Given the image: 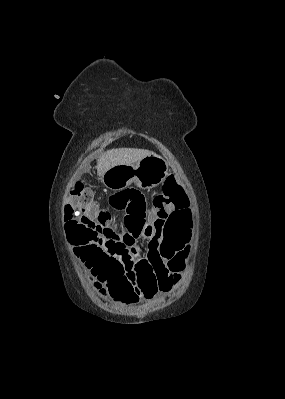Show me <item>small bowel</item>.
I'll return each instance as SVG.
<instances>
[{"instance_id":"small-bowel-1","label":"small bowel","mask_w":285,"mask_h":399,"mask_svg":"<svg viewBox=\"0 0 285 399\" xmlns=\"http://www.w3.org/2000/svg\"><path fill=\"white\" fill-rule=\"evenodd\" d=\"M148 219L149 223L146 224L143 230V237L149 240L150 249H154L157 248L160 242L163 240V236L159 234L157 230V224L162 222L163 220L159 217L158 211L156 209H151L148 212ZM192 226H193V219L190 218L184 224L174 227L172 231L174 233H184L188 237L189 241L192 235ZM190 249H191L190 245L187 242L182 253L184 261H186L190 256ZM101 269L103 271H113L117 273L118 280L120 282L122 281L129 282L133 274L132 270L127 265H124L122 271H118L116 263L111 260L105 261ZM182 280H183L182 274H173V276L169 275L166 279H164L162 282L159 283V289L163 294L172 293L175 290V288L181 284ZM95 291L96 294L101 298L110 299L117 303L127 305L124 300L118 299L116 296H113L105 286ZM154 295H148V296L142 295L140 299H150ZM131 303L132 302H130L129 304Z\"/></svg>"}]
</instances>
